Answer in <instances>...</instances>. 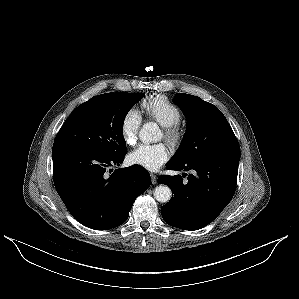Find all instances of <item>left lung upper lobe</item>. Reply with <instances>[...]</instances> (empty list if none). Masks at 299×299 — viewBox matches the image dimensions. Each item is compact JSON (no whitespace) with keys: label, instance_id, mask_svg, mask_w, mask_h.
Here are the masks:
<instances>
[{"label":"left lung upper lobe","instance_id":"1","mask_svg":"<svg viewBox=\"0 0 299 299\" xmlns=\"http://www.w3.org/2000/svg\"><path fill=\"white\" fill-rule=\"evenodd\" d=\"M173 102L186 116L187 129L170 162H187L237 141L227 119L213 104L184 93H177Z\"/></svg>","mask_w":299,"mask_h":299}]
</instances>
